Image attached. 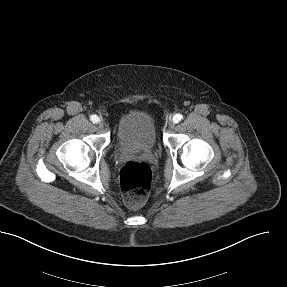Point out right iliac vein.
I'll return each instance as SVG.
<instances>
[{"label": "right iliac vein", "mask_w": 287, "mask_h": 287, "mask_svg": "<svg viewBox=\"0 0 287 287\" xmlns=\"http://www.w3.org/2000/svg\"><path fill=\"white\" fill-rule=\"evenodd\" d=\"M98 125H99V127H103L104 126V122L102 120H99L98 121Z\"/></svg>", "instance_id": "1"}]
</instances>
